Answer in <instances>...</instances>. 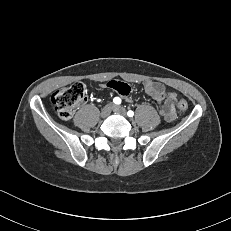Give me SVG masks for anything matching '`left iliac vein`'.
Listing matches in <instances>:
<instances>
[{
    "label": "left iliac vein",
    "mask_w": 231,
    "mask_h": 231,
    "mask_svg": "<svg viewBox=\"0 0 231 231\" xmlns=\"http://www.w3.org/2000/svg\"><path fill=\"white\" fill-rule=\"evenodd\" d=\"M113 111L117 114L125 116L127 114L126 109L121 106H113Z\"/></svg>",
    "instance_id": "1"
}]
</instances>
